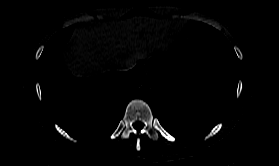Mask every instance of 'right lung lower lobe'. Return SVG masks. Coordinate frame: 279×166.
<instances>
[{"mask_svg": "<svg viewBox=\"0 0 279 166\" xmlns=\"http://www.w3.org/2000/svg\"><path fill=\"white\" fill-rule=\"evenodd\" d=\"M74 26L56 33L39 58L43 102L58 126L82 141L101 140L117 128L124 106L146 75L139 64L130 71L110 72L90 79L70 76L62 49Z\"/></svg>", "mask_w": 279, "mask_h": 166, "instance_id": "98d812e1", "label": "right lung lower lobe"}]
</instances>
